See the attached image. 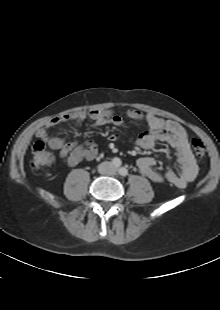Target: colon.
I'll use <instances>...</instances> for the list:
<instances>
[{
    "label": "colon",
    "mask_w": 220,
    "mask_h": 310,
    "mask_svg": "<svg viewBox=\"0 0 220 310\" xmlns=\"http://www.w3.org/2000/svg\"><path fill=\"white\" fill-rule=\"evenodd\" d=\"M192 148L196 156L205 155V146L199 139L192 140ZM54 162V155L50 152L43 141H36L31 148L30 167L34 170H40L49 167Z\"/></svg>",
    "instance_id": "colon-1"
}]
</instances>
